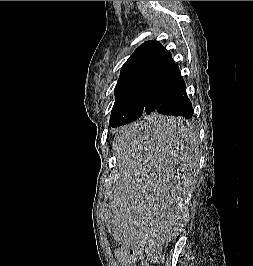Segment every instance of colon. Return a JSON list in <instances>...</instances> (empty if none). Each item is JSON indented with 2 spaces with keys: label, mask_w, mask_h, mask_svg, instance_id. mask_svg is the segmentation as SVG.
I'll list each match as a JSON object with an SVG mask.
<instances>
[{
  "label": "colon",
  "mask_w": 253,
  "mask_h": 266,
  "mask_svg": "<svg viewBox=\"0 0 253 266\" xmlns=\"http://www.w3.org/2000/svg\"><path fill=\"white\" fill-rule=\"evenodd\" d=\"M116 256L122 263L139 259L142 266H151L161 260L160 248H121L119 246Z\"/></svg>",
  "instance_id": "colon-1"
}]
</instances>
